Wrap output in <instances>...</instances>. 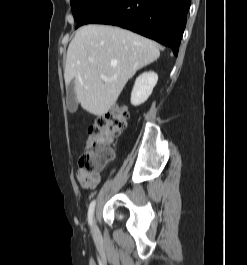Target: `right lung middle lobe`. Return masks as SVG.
<instances>
[{"mask_svg":"<svg viewBox=\"0 0 247 265\" xmlns=\"http://www.w3.org/2000/svg\"><path fill=\"white\" fill-rule=\"evenodd\" d=\"M98 0H70L73 16L78 22Z\"/></svg>","mask_w":247,"mask_h":265,"instance_id":"1","label":"right lung middle lobe"}]
</instances>
